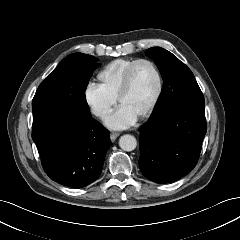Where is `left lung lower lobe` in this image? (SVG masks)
I'll return each mask as SVG.
<instances>
[{"mask_svg": "<svg viewBox=\"0 0 240 240\" xmlns=\"http://www.w3.org/2000/svg\"><path fill=\"white\" fill-rule=\"evenodd\" d=\"M206 131L202 105H175L149 119L139 129L142 174L160 184L189 174L198 162Z\"/></svg>", "mask_w": 240, "mask_h": 240, "instance_id": "1", "label": "left lung lower lobe"}]
</instances>
